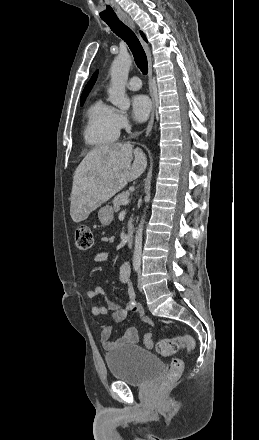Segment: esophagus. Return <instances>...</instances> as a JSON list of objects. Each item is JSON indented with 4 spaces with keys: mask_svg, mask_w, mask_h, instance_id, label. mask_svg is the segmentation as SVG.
I'll use <instances>...</instances> for the list:
<instances>
[{
    "mask_svg": "<svg viewBox=\"0 0 259 440\" xmlns=\"http://www.w3.org/2000/svg\"><path fill=\"white\" fill-rule=\"evenodd\" d=\"M119 17L128 26H130L131 28L135 29V25H134L133 21L131 20V18L127 14H121ZM141 42H142L144 51H145L146 56H147V61H148L149 92H150V96H151V99H152L151 116H150V120H149L147 128H146V136H147L151 132L153 124H154L156 99H155V95H154V87H153V80H152V71H153V69H152L151 52H150L149 46L142 39H141Z\"/></svg>",
    "mask_w": 259,
    "mask_h": 440,
    "instance_id": "obj_1",
    "label": "esophagus"
}]
</instances>
